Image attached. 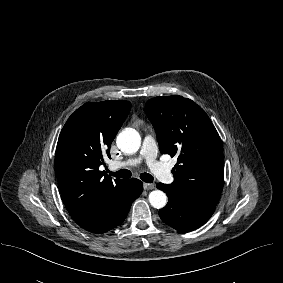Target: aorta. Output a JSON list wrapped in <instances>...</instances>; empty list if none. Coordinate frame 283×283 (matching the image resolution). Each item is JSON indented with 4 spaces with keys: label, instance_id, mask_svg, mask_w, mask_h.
<instances>
[{
    "label": "aorta",
    "instance_id": "aorta-1",
    "mask_svg": "<svg viewBox=\"0 0 283 283\" xmlns=\"http://www.w3.org/2000/svg\"><path fill=\"white\" fill-rule=\"evenodd\" d=\"M116 143L122 152L133 154L139 150L141 138L135 129L126 128L119 133ZM149 202L154 208L161 209L167 203V196L161 190H154L149 194Z\"/></svg>",
    "mask_w": 283,
    "mask_h": 283
}]
</instances>
